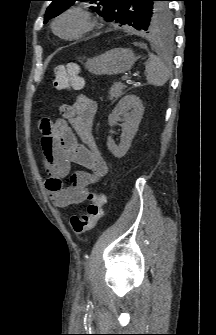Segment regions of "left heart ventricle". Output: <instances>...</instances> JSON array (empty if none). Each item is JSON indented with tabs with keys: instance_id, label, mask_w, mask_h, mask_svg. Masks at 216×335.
<instances>
[{
	"instance_id": "b2bd125f",
	"label": "left heart ventricle",
	"mask_w": 216,
	"mask_h": 335,
	"mask_svg": "<svg viewBox=\"0 0 216 335\" xmlns=\"http://www.w3.org/2000/svg\"><path fill=\"white\" fill-rule=\"evenodd\" d=\"M81 27V20L74 15H69L60 20L57 29L62 35H72L79 31Z\"/></svg>"
}]
</instances>
